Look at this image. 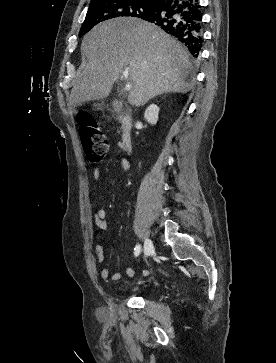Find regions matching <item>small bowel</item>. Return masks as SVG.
<instances>
[{
    "label": "small bowel",
    "instance_id": "obj_1",
    "mask_svg": "<svg viewBox=\"0 0 276 363\" xmlns=\"http://www.w3.org/2000/svg\"><path fill=\"white\" fill-rule=\"evenodd\" d=\"M122 164L125 168H129L130 166V163H129V160L127 158H125L123 161H122ZM93 178L95 179L96 182H99L100 180V170L98 168H95L93 170ZM93 218H94V221H95V224L97 225V227L100 229V230H103L107 227V223H106V211L105 209H98L94 215H93ZM97 237L98 239L101 238V233L98 232L97 233ZM95 252H96V255H97V260L99 263H103L105 261V253H104V247L102 245H97L96 248H95ZM149 274V271L148 270H145L143 271V275L146 276ZM124 275L127 276V277H134L135 275V271L133 270V268L131 267H127L125 268L124 270ZM100 276L102 279L104 280H112V281H120L122 278H123V274L122 273H113L111 274L110 273V270L107 268V267H104L100 270Z\"/></svg>",
    "mask_w": 276,
    "mask_h": 363
}]
</instances>
